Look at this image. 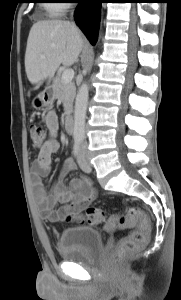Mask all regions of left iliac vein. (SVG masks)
<instances>
[{"mask_svg":"<svg viewBox=\"0 0 181 300\" xmlns=\"http://www.w3.org/2000/svg\"><path fill=\"white\" fill-rule=\"evenodd\" d=\"M78 164L80 166V168L86 172V173H90L92 170V166L89 163L87 156H86V152L84 148H81L79 155H78Z\"/></svg>","mask_w":181,"mask_h":300,"instance_id":"1","label":"left iliac vein"}]
</instances>
